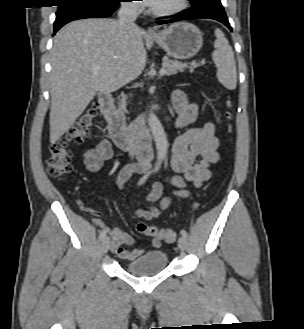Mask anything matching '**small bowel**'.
Returning a JSON list of instances; mask_svg holds the SVG:
<instances>
[{"label":"small bowel","mask_w":304,"mask_h":329,"mask_svg":"<svg viewBox=\"0 0 304 329\" xmlns=\"http://www.w3.org/2000/svg\"><path fill=\"white\" fill-rule=\"evenodd\" d=\"M172 103L176 111L175 124L178 127H186L193 123L202 113V109L195 103L187 100L181 90H175L172 94ZM219 139L215 134V127L212 122H207L202 127L190 128L176 138L172 146L171 167L176 173L169 181L176 188V193L186 195L185 183L192 182L196 187L201 186L209 180L210 166L219 160L218 154ZM113 156L111 142L107 138L101 139L93 148L83 153L85 168L93 173L100 171L104 162ZM149 163L141 161L139 164L128 166L122 169L116 179L117 186L122 189L125 183L134 172H144L149 168ZM163 193L162 184H156L152 192L146 196L149 203L145 209H140L132 214L134 219L150 220L157 218L161 210L154 203ZM170 204L169 199L163 202V209ZM96 226L103 228L100 219L94 218ZM109 235L110 249L124 260H132L145 252L144 249H131L132 237L118 227L106 228ZM161 241L157 238L149 242V248H159Z\"/></svg>","instance_id":"small-bowel-1"}]
</instances>
